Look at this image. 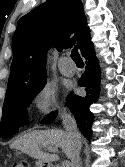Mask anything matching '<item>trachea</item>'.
I'll return each mask as SVG.
<instances>
[{"label": "trachea", "mask_w": 125, "mask_h": 167, "mask_svg": "<svg viewBox=\"0 0 125 167\" xmlns=\"http://www.w3.org/2000/svg\"><path fill=\"white\" fill-rule=\"evenodd\" d=\"M71 58L73 59V61L79 65V64H83V61L78 53V49L76 46H74V48L72 49V52H71Z\"/></svg>", "instance_id": "obj_1"}]
</instances>
